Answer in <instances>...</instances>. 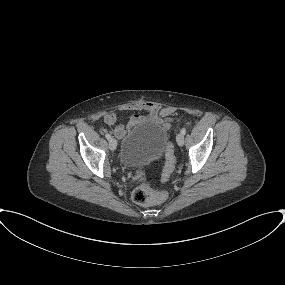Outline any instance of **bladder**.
Wrapping results in <instances>:
<instances>
[{"label":"bladder","instance_id":"obj_1","mask_svg":"<svg viewBox=\"0 0 285 285\" xmlns=\"http://www.w3.org/2000/svg\"><path fill=\"white\" fill-rule=\"evenodd\" d=\"M167 130L146 121L137 124L121 143L120 161L127 167H139L158 159L167 144Z\"/></svg>","mask_w":285,"mask_h":285}]
</instances>
